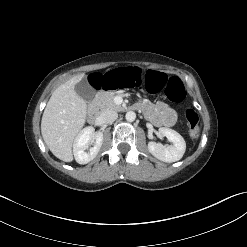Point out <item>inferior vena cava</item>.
I'll return each mask as SVG.
<instances>
[{"instance_id":"obj_1","label":"inferior vena cava","mask_w":247,"mask_h":247,"mask_svg":"<svg viewBox=\"0 0 247 247\" xmlns=\"http://www.w3.org/2000/svg\"><path fill=\"white\" fill-rule=\"evenodd\" d=\"M118 118V114L114 110H106L101 114V120L104 123H112Z\"/></svg>"}]
</instances>
